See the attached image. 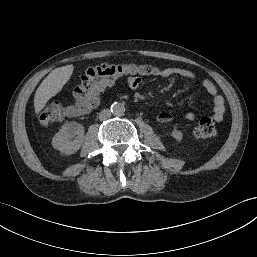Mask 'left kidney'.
Listing matches in <instances>:
<instances>
[{"instance_id": "1", "label": "left kidney", "mask_w": 257, "mask_h": 257, "mask_svg": "<svg viewBox=\"0 0 257 257\" xmlns=\"http://www.w3.org/2000/svg\"><path fill=\"white\" fill-rule=\"evenodd\" d=\"M172 137L175 138L176 140H182L183 138V134L177 130V129H174L171 133Z\"/></svg>"}]
</instances>
